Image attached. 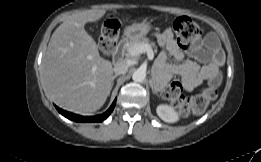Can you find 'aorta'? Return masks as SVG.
<instances>
[{"mask_svg":"<svg viewBox=\"0 0 261 162\" xmlns=\"http://www.w3.org/2000/svg\"><path fill=\"white\" fill-rule=\"evenodd\" d=\"M145 78H146V71L141 68L135 70L132 75V79L135 82H143Z\"/></svg>","mask_w":261,"mask_h":162,"instance_id":"762f6f07","label":"aorta"}]
</instances>
